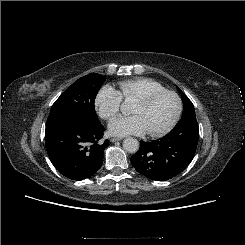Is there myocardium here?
<instances>
[{
	"label": "myocardium",
	"mask_w": 245,
	"mask_h": 245,
	"mask_svg": "<svg viewBox=\"0 0 245 245\" xmlns=\"http://www.w3.org/2000/svg\"><path fill=\"white\" fill-rule=\"evenodd\" d=\"M164 95H172L176 98L177 101V109L175 112L174 117L172 118V120L169 122V124L167 126H165L164 128L155 131V132H147V134L150 137H162L166 134H168L170 131H172V129L177 125L178 121L180 120L181 114H182V110H183V103H182V99L180 97V95L172 90H163V91H159V92H155L149 95H145L142 97H139L138 99L135 100V102L147 105L152 103L153 101H155L156 99H158L161 96Z\"/></svg>",
	"instance_id": "f54148a6"
}]
</instances>
